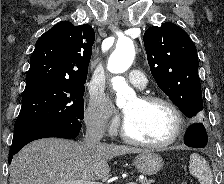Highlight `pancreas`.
Masks as SVG:
<instances>
[{
	"label": "pancreas",
	"mask_w": 224,
	"mask_h": 184,
	"mask_svg": "<svg viewBox=\"0 0 224 184\" xmlns=\"http://www.w3.org/2000/svg\"><path fill=\"white\" fill-rule=\"evenodd\" d=\"M152 180L144 179L141 181V184H152Z\"/></svg>",
	"instance_id": "cf45deb5"
}]
</instances>
